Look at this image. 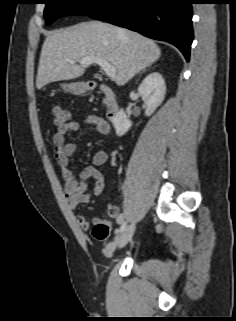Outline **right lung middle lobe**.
<instances>
[{
	"label": "right lung middle lobe",
	"mask_w": 236,
	"mask_h": 321,
	"mask_svg": "<svg viewBox=\"0 0 236 321\" xmlns=\"http://www.w3.org/2000/svg\"><path fill=\"white\" fill-rule=\"evenodd\" d=\"M111 0H45L44 17L50 25L66 15H90L107 5Z\"/></svg>",
	"instance_id": "obj_1"
}]
</instances>
